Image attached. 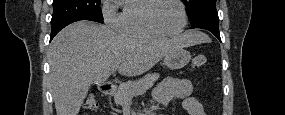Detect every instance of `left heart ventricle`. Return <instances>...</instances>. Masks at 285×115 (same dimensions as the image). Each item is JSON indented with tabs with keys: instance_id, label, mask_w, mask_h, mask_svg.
<instances>
[{
	"instance_id": "left-heart-ventricle-1",
	"label": "left heart ventricle",
	"mask_w": 285,
	"mask_h": 115,
	"mask_svg": "<svg viewBox=\"0 0 285 115\" xmlns=\"http://www.w3.org/2000/svg\"><path fill=\"white\" fill-rule=\"evenodd\" d=\"M153 20L162 30L174 32L182 24L181 9L171 0L162 1L153 11Z\"/></svg>"
}]
</instances>
